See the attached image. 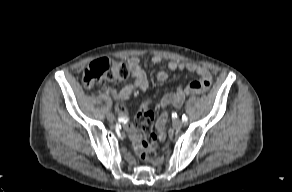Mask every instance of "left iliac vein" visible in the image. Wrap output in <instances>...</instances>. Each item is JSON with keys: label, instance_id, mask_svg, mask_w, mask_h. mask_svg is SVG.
<instances>
[{"label": "left iliac vein", "instance_id": "4c4485c4", "mask_svg": "<svg viewBox=\"0 0 292 192\" xmlns=\"http://www.w3.org/2000/svg\"><path fill=\"white\" fill-rule=\"evenodd\" d=\"M183 126V121L180 119H176L173 121V127L179 129Z\"/></svg>", "mask_w": 292, "mask_h": 192}]
</instances>
